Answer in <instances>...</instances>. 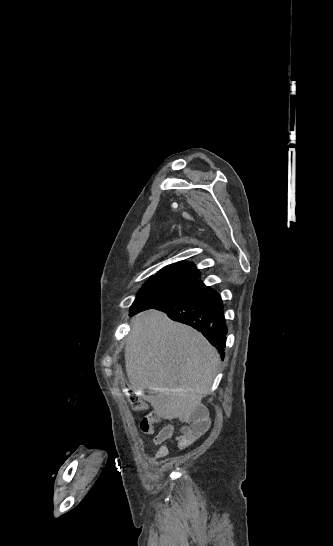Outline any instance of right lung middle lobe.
<instances>
[{
  "mask_svg": "<svg viewBox=\"0 0 333 546\" xmlns=\"http://www.w3.org/2000/svg\"><path fill=\"white\" fill-rule=\"evenodd\" d=\"M200 285L201 281L155 275L139 290L130 311L153 308L161 303L190 294Z\"/></svg>",
  "mask_w": 333,
  "mask_h": 546,
  "instance_id": "1",
  "label": "right lung middle lobe"
}]
</instances>
